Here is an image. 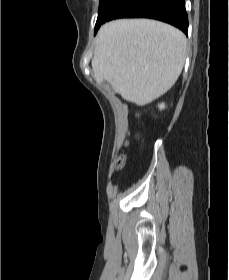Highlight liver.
I'll return each instance as SVG.
<instances>
[{
  "instance_id": "obj_1",
  "label": "liver",
  "mask_w": 229,
  "mask_h": 280,
  "mask_svg": "<svg viewBox=\"0 0 229 280\" xmlns=\"http://www.w3.org/2000/svg\"><path fill=\"white\" fill-rule=\"evenodd\" d=\"M186 46L180 30L159 21L108 22L96 37L94 79L108 82L123 99L144 106L174 85L184 66Z\"/></svg>"
}]
</instances>
